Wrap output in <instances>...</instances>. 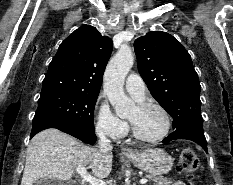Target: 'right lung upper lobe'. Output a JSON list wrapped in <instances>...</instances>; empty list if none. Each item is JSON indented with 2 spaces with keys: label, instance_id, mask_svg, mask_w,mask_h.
<instances>
[{
  "label": "right lung upper lobe",
  "instance_id": "cb5924a9",
  "mask_svg": "<svg viewBox=\"0 0 233 185\" xmlns=\"http://www.w3.org/2000/svg\"><path fill=\"white\" fill-rule=\"evenodd\" d=\"M113 42L95 27L83 25L67 37L49 64L42 91L99 93Z\"/></svg>",
  "mask_w": 233,
  "mask_h": 185
}]
</instances>
